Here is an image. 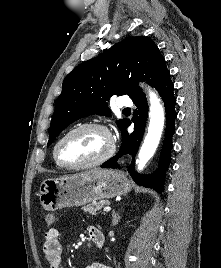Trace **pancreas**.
<instances>
[{
  "mask_svg": "<svg viewBox=\"0 0 221 268\" xmlns=\"http://www.w3.org/2000/svg\"><path fill=\"white\" fill-rule=\"evenodd\" d=\"M108 204V201L106 200H101V201H98V202H94L90 205H85L83 206L81 209L84 211V212H88L89 214H92V215H97L98 214V211L104 206V205H107Z\"/></svg>",
  "mask_w": 221,
  "mask_h": 268,
  "instance_id": "pancreas-1",
  "label": "pancreas"
}]
</instances>
